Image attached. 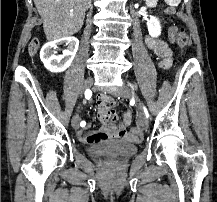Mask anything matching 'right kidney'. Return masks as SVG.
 I'll return each instance as SVG.
<instances>
[{"instance_id": "1", "label": "right kidney", "mask_w": 217, "mask_h": 202, "mask_svg": "<svg viewBox=\"0 0 217 202\" xmlns=\"http://www.w3.org/2000/svg\"><path fill=\"white\" fill-rule=\"evenodd\" d=\"M63 44L67 46V50H63L61 56H56L55 52H58ZM78 48L79 40L77 38H60V40H54V42H47L41 48V62L49 72H64L73 62Z\"/></svg>"}]
</instances>
